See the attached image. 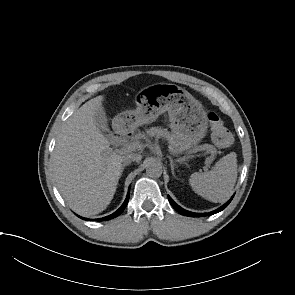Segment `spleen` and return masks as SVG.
Listing matches in <instances>:
<instances>
[{
	"label": "spleen",
	"mask_w": 295,
	"mask_h": 295,
	"mask_svg": "<svg viewBox=\"0 0 295 295\" xmlns=\"http://www.w3.org/2000/svg\"><path fill=\"white\" fill-rule=\"evenodd\" d=\"M236 179V153L231 152L216 162L210 171L193 173L189 183L193 191L206 200L223 203L230 198Z\"/></svg>",
	"instance_id": "1"
}]
</instances>
